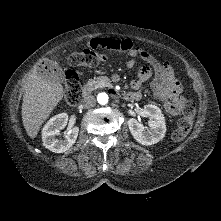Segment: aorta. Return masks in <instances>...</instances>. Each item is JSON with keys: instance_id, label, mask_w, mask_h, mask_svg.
I'll return each mask as SVG.
<instances>
[{"instance_id": "obj_1", "label": "aorta", "mask_w": 221, "mask_h": 221, "mask_svg": "<svg viewBox=\"0 0 221 221\" xmlns=\"http://www.w3.org/2000/svg\"><path fill=\"white\" fill-rule=\"evenodd\" d=\"M108 99H109L108 95L104 92L99 93L98 96H97V100H98L99 104H101V105L107 104Z\"/></svg>"}]
</instances>
